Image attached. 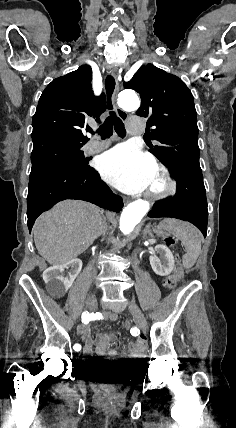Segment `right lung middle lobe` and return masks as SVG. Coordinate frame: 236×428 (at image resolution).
I'll list each match as a JSON object with an SVG mask.
<instances>
[{
  "label": "right lung middle lobe",
  "instance_id": "1",
  "mask_svg": "<svg viewBox=\"0 0 236 428\" xmlns=\"http://www.w3.org/2000/svg\"><path fill=\"white\" fill-rule=\"evenodd\" d=\"M84 140H56L33 146L31 174L56 167L85 168L88 158L84 157Z\"/></svg>",
  "mask_w": 236,
  "mask_h": 428
}]
</instances>
